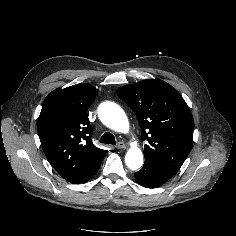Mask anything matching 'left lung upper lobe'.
<instances>
[{"label": "left lung upper lobe", "mask_w": 236, "mask_h": 236, "mask_svg": "<svg viewBox=\"0 0 236 236\" xmlns=\"http://www.w3.org/2000/svg\"><path fill=\"white\" fill-rule=\"evenodd\" d=\"M134 111L140 127L145 159L176 173L193 145L194 120L180 93L170 84L147 79L117 90Z\"/></svg>", "instance_id": "obj_1"}]
</instances>
